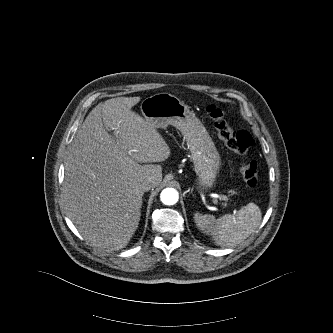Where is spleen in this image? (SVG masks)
Returning <instances> with one entry per match:
<instances>
[{
  "mask_svg": "<svg viewBox=\"0 0 333 333\" xmlns=\"http://www.w3.org/2000/svg\"><path fill=\"white\" fill-rule=\"evenodd\" d=\"M262 212L254 203H248L236 214H226L219 219L208 214H194L197 227L212 235L219 246H234L246 239L260 224Z\"/></svg>",
  "mask_w": 333,
  "mask_h": 333,
  "instance_id": "3e777b00",
  "label": "spleen"
}]
</instances>
